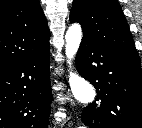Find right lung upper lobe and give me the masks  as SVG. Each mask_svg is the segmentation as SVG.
Masks as SVG:
<instances>
[{
  "instance_id": "obj_1",
  "label": "right lung upper lobe",
  "mask_w": 142,
  "mask_h": 128,
  "mask_svg": "<svg viewBox=\"0 0 142 128\" xmlns=\"http://www.w3.org/2000/svg\"><path fill=\"white\" fill-rule=\"evenodd\" d=\"M49 39L39 0H0V72L41 52Z\"/></svg>"
}]
</instances>
